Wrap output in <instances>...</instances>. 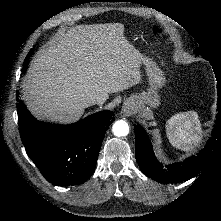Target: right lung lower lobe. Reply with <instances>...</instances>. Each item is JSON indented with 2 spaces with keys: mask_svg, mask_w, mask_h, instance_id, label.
Instances as JSON below:
<instances>
[{
  "mask_svg": "<svg viewBox=\"0 0 221 221\" xmlns=\"http://www.w3.org/2000/svg\"><path fill=\"white\" fill-rule=\"evenodd\" d=\"M17 101L22 143L45 179L62 186L85 182L95 170L114 114L105 110L74 124L54 125L36 120L25 105Z\"/></svg>",
  "mask_w": 221,
  "mask_h": 221,
  "instance_id": "98d812e1",
  "label": "right lung lower lobe"
}]
</instances>
